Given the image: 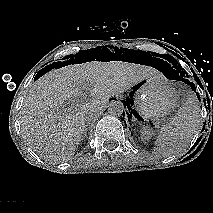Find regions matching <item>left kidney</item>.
Segmentation results:
<instances>
[{
  "label": "left kidney",
  "instance_id": "left-kidney-1",
  "mask_svg": "<svg viewBox=\"0 0 213 213\" xmlns=\"http://www.w3.org/2000/svg\"><path fill=\"white\" fill-rule=\"evenodd\" d=\"M142 134H143V136H144V137H146V135H148V134H149V131H148V130H146V129H143Z\"/></svg>",
  "mask_w": 213,
  "mask_h": 213
}]
</instances>
